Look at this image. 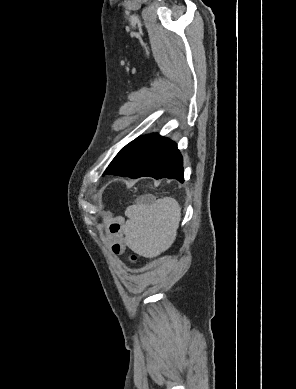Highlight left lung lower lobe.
<instances>
[{"mask_svg": "<svg viewBox=\"0 0 296 389\" xmlns=\"http://www.w3.org/2000/svg\"><path fill=\"white\" fill-rule=\"evenodd\" d=\"M105 174L184 182L183 158L177 144L159 134L139 136L116 155Z\"/></svg>", "mask_w": 296, "mask_h": 389, "instance_id": "left-lung-lower-lobe-1", "label": "left lung lower lobe"}]
</instances>
